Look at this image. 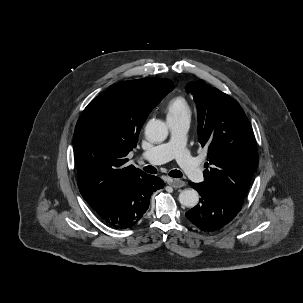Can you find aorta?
<instances>
[{"label":"aorta","instance_id":"1","mask_svg":"<svg viewBox=\"0 0 303 303\" xmlns=\"http://www.w3.org/2000/svg\"><path fill=\"white\" fill-rule=\"evenodd\" d=\"M145 135L148 141L159 143L167 138L168 128L163 121L151 119L145 127ZM179 202L187 208H193L199 202V194L195 189H184L179 194Z\"/></svg>","mask_w":303,"mask_h":303}]
</instances>
